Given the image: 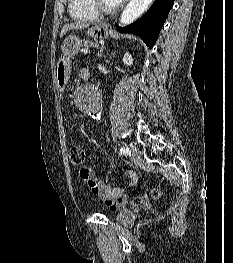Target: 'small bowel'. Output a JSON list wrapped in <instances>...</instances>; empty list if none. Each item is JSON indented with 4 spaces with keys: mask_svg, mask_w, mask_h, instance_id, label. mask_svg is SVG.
I'll list each match as a JSON object with an SVG mask.
<instances>
[{
    "mask_svg": "<svg viewBox=\"0 0 233 263\" xmlns=\"http://www.w3.org/2000/svg\"><path fill=\"white\" fill-rule=\"evenodd\" d=\"M83 70L86 69L83 68L81 72ZM86 169L88 171V176H83L81 171L80 176L87 182L88 187L94 196L102 198L110 210H118L126 205L121 200V195L124 193V189L99 180L95 176L93 169L89 167H86ZM127 174L130 177V185L133 186L137 182V175L132 170H129Z\"/></svg>",
    "mask_w": 233,
    "mask_h": 263,
    "instance_id": "c3829d8e",
    "label": "small bowel"
}]
</instances>
